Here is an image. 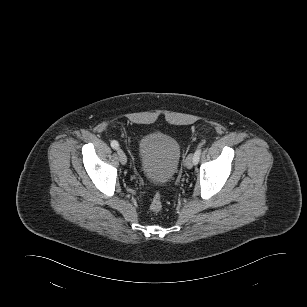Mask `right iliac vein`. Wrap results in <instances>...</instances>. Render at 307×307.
Masks as SVG:
<instances>
[{"mask_svg":"<svg viewBox=\"0 0 307 307\" xmlns=\"http://www.w3.org/2000/svg\"><path fill=\"white\" fill-rule=\"evenodd\" d=\"M117 153H118L119 161L121 162V164L125 165L127 163L126 154L124 153L122 149H118Z\"/></svg>","mask_w":307,"mask_h":307,"instance_id":"obj_1","label":"right iliac vein"}]
</instances>
